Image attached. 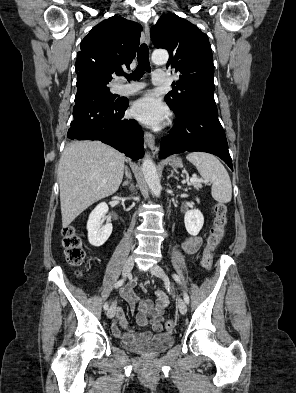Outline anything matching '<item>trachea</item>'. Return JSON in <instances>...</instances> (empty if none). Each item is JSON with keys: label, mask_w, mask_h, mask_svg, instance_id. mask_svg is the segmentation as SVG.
Segmentation results:
<instances>
[{"label": "trachea", "mask_w": 296, "mask_h": 393, "mask_svg": "<svg viewBox=\"0 0 296 393\" xmlns=\"http://www.w3.org/2000/svg\"><path fill=\"white\" fill-rule=\"evenodd\" d=\"M138 66L136 67L135 71L130 74L121 73L120 75H125L128 79L131 80H138L142 77L144 71L150 72L151 67L149 63V49L146 44H142L138 50L137 54Z\"/></svg>", "instance_id": "obj_1"}]
</instances>
